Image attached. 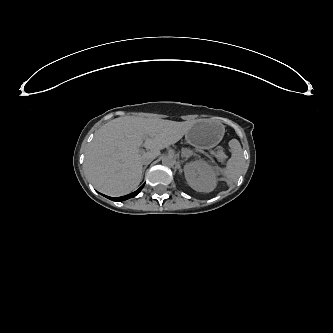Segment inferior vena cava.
<instances>
[{
  "label": "inferior vena cava",
  "mask_w": 333,
  "mask_h": 333,
  "mask_svg": "<svg viewBox=\"0 0 333 333\" xmlns=\"http://www.w3.org/2000/svg\"><path fill=\"white\" fill-rule=\"evenodd\" d=\"M152 160H153V158H145V159H143L142 164L148 165L152 162Z\"/></svg>",
  "instance_id": "1"
}]
</instances>
